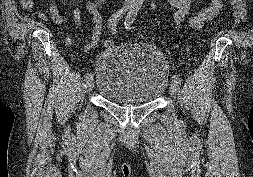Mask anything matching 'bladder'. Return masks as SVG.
<instances>
[{
  "label": "bladder",
  "instance_id": "1",
  "mask_svg": "<svg viewBox=\"0 0 253 177\" xmlns=\"http://www.w3.org/2000/svg\"><path fill=\"white\" fill-rule=\"evenodd\" d=\"M96 91L112 103H153L167 85V63L156 48L146 45L113 46L95 67Z\"/></svg>",
  "mask_w": 253,
  "mask_h": 177
}]
</instances>
